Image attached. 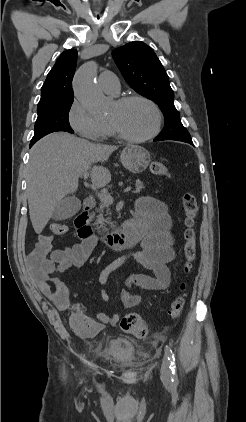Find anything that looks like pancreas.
<instances>
[{
    "label": "pancreas",
    "instance_id": "pancreas-1",
    "mask_svg": "<svg viewBox=\"0 0 246 422\" xmlns=\"http://www.w3.org/2000/svg\"><path fill=\"white\" fill-rule=\"evenodd\" d=\"M143 188H144L143 183L139 179H137L135 193H139ZM109 215H110V204L100 199V204H99V208L97 209L96 222H95L96 228L99 232H107L109 231V227L111 228L116 227V225L113 222H111Z\"/></svg>",
    "mask_w": 246,
    "mask_h": 422
}]
</instances>
